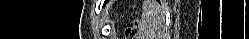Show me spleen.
Returning <instances> with one entry per match:
<instances>
[{
  "mask_svg": "<svg viewBox=\"0 0 249 39\" xmlns=\"http://www.w3.org/2000/svg\"><path fill=\"white\" fill-rule=\"evenodd\" d=\"M165 14L162 7L156 2L145 0L139 23V36L142 39H164L166 27Z\"/></svg>",
  "mask_w": 249,
  "mask_h": 39,
  "instance_id": "spleen-1",
  "label": "spleen"
}]
</instances>
